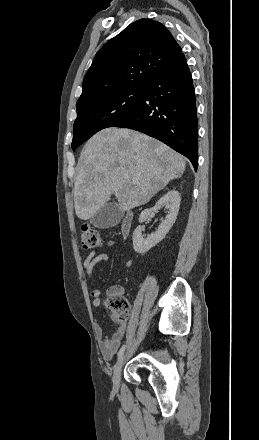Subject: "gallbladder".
Masks as SVG:
<instances>
[{
  "instance_id": "obj_1",
  "label": "gallbladder",
  "mask_w": 259,
  "mask_h": 440,
  "mask_svg": "<svg viewBox=\"0 0 259 440\" xmlns=\"http://www.w3.org/2000/svg\"><path fill=\"white\" fill-rule=\"evenodd\" d=\"M123 214V210L119 208L117 203H107L89 221L96 228L108 229L116 226L121 221Z\"/></svg>"
}]
</instances>
